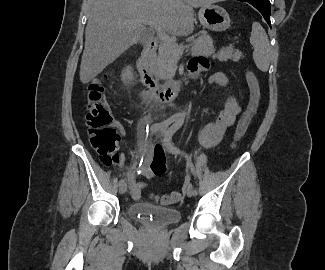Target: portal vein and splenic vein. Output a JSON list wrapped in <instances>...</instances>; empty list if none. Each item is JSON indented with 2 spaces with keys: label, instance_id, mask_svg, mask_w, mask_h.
Here are the masks:
<instances>
[{
  "label": "portal vein and splenic vein",
  "instance_id": "1",
  "mask_svg": "<svg viewBox=\"0 0 325 270\" xmlns=\"http://www.w3.org/2000/svg\"><path fill=\"white\" fill-rule=\"evenodd\" d=\"M142 22L154 28L163 43L171 45L173 47H178L175 40L172 39L159 25H157V23L152 20H142ZM185 48L186 47H181L179 51H183Z\"/></svg>",
  "mask_w": 325,
  "mask_h": 270
}]
</instances>
